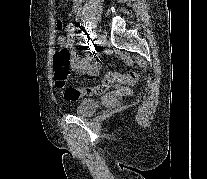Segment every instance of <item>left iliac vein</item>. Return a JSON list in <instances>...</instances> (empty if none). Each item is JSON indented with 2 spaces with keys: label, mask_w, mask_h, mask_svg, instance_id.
Wrapping results in <instances>:
<instances>
[{
  "label": "left iliac vein",
  "mask_w": 207,
  "mask_h": 179,
  "mask_svg": "<svg viewBox=\"0 0 207 179\" xmlns=\"http://www.w3.org/2000/svg\"><path fill=\"white\" fill-rule=\"evenodd\" d=\"M100 40L98 41L97 48L98 49H103L104 45L106 44V37L104 35H100Z\"/></svg>",
  "instance_id": "left-iliac-vein-1"
}]
</instances>
